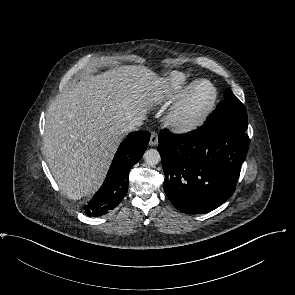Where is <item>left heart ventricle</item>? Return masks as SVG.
<instances>
[{
    "label": "left heart ventricle",
    "mask_w": 295,
    "mask_h": 295,
    "mask_svg": "<svg viewBox=\"0 0 295 295\" xmlns=\"http://www.w3.org/2000/svg\"><path fill=\"white\" fill-rule=\"evenodd\" d=\"M211 96V87L206 83L200 85V87L195 91L188 103L186 115L195 116L202 112L209 102Z\"/></svg>",
    "instance_id": "b2bd125f"
}]
</instances>
